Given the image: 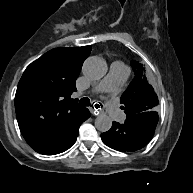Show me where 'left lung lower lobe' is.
I'll return each mask as SVG.
<instances>
[{"mask_svg":"<svg viewBox=\"0 0 193 193\" xmlns=\"http://www.w3.org/2000/svg\"><path fill=\"white\" fill-rule=\"evenodd\" d=\"M134 115L124 124L113 122L112 128L101 134L103 142L118 151L133 152L143 148L152 139L158 122V115Z\"/></svg>","mask_w":193,"mask_h":193,"instance_id":"left-lung-lower-lobe-1","label":"left lung lower lobe"}]
</instances>
